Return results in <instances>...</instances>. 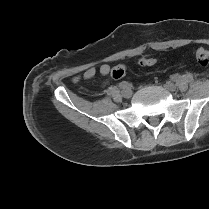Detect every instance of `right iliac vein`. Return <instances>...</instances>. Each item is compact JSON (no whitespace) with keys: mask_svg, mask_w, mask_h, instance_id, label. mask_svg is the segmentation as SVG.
I'll list each match as a JSON object with an SVG mask.
<instances>
[{"mask_svg":"<svg viewBox=\"0 0 209 209\" xmlns=\"http://www.w3.org/2000/svg\"><path fill=\"white\" fill-rule=\"evenodd\" d=\"M122 95L125 97V98H130L132 96V90L130 88H127V89H124L122 91Z\"/></svg>","mask_w":209,"mask_h":209,"instance_id":"right-iliac-vein-1","label":"right iliac vein"}]
</instances>
